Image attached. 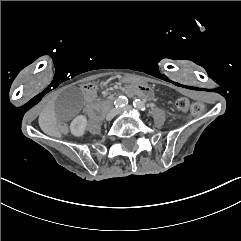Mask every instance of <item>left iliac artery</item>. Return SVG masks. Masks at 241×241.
I'll return each instance as SVG.
<instances>
[{"label": "left iliac artery", "instance_id": "1", "mask_svg": "<svg viewBox=\"0 0 241 241\" xmlns=\"http://www.w3.org/2000/svg\"><path fill=\"white\" fill-rule=\"evenodd\" d=\"M133 106H134L135 108L139 109V110H142V111H145V110H146L145 104H144L141 100H139V99H135V100L133 101Z\"/></svg>", "mask_w": 241, "mask_h": 241}]
</instances>
